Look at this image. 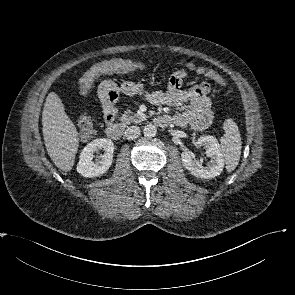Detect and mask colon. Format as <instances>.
<instances>
[{
  "mask_svg": "<svg viewBox=\"0 0 295 295\" xmlns=\"http://www.w3.org/2000/svg\"><path fill=\"white\" fill-rule=\"evenodd\" d=\"M131 71H133L131 65L121 59H111V60L100 62L86 72L82 81V89L84 91H88L91 88L94 80L100 75L127 73ZM200 71L202 73L207 74L210 78H212L214 81H216L220 85L226 86L225 79H223L222 76H220L215 71L206 70V69H201ZM185 76L186 74L184 71H178L171 76L169 82L174 84L176 87H181L185 79ZM79 126H80V134L82 136L91 137L93 135V132H94L93 123L91 118L88 115H83L81 117L79 121Z\"/></svg>",
  "mask_w": 295,
  "mask_h": 295,
  "instance_id": "obj_1",
  "label": "colon"
}]
</instances>
